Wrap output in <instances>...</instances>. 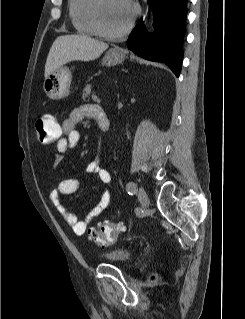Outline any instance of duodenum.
<instances>
[{
	"instance_id": "obj_1",
	"label": "duodenum",
	"mask_w": 245,
	"mask_h": 319,
	"mask_svg": "<svg viewBox=\"0 0 245 319\" xmlns=\"http://www.w3.org/2000/svg\"><path fill=\"white\" fill-rule=\"evenodd\" d=\"M97 122L102 132H107L109 130L110 122L105 112L99 114V116L97 117Z\"/></svg>"
}]
</instances>
